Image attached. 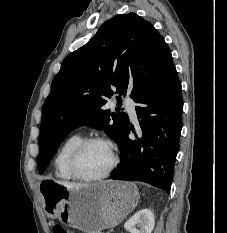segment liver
<instances>
[{"label":"liver","instance_id":"1","mask_svg":"<svg viewBox=\"0 0 227 233\" xmlns=\"http://www.w3.org/2000/svg\"><path fill=\"white\" fill-rule=\"evenodd\" d=\"M56 182L63 185V186H66L67 188H70V189H77V188H81V187L86 186L84 184L68 183V182H64V181H56Z\"/></svg>","mask_w":227,"mask_h":233}]
</instances>
